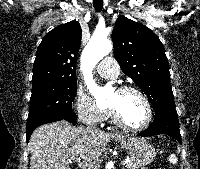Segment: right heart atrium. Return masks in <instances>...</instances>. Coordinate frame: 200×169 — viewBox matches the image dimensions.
Listing matches in <instances>:
<instances>
[{
  "label": "right heart atrium",
  "instance_id": "obj_1",
  "mask_svg": "<svg viewBox=\"0 0 200 169\" xmlns=\"http://www.w3.org/2000/svg\"><path fill=\"white\" fill-rule=\"evenodd\" d=\"M74 108L79 119L90 125H98L105 121L107 111L99 106L91 96L78 91L75 100Z\"/></svg>",
  "mask_w": 200,
  "mask_h": 169
}]
</instances>
